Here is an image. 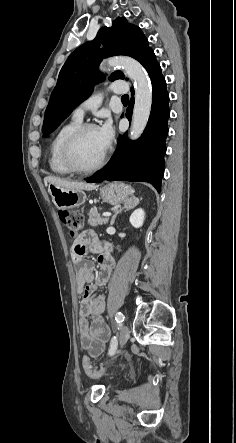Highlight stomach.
<instances>
[{
    "instance_id": "0dacf381",
    "label": "stomach",
    "mask_w": 236,
    "mask_h": 443,
    "mask_svg": "<svg viewBox=\"0 0 236 443\" xmlns=\"http://www.w3.org/2000/svg\"><path fill=\"white\" fill-rule=\"evenodd\" d=\"M48 190L54 205L60 210L79 207L86 201V194L83 190H71L53 184H49ZM133 193L132 187L123 183L108 184L101 189L103 200L111 205L126 202Z\"/></svg>"
}]
</instances>
